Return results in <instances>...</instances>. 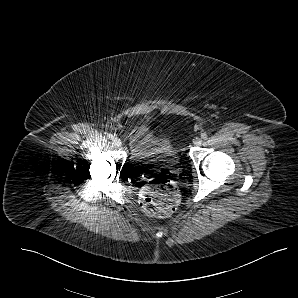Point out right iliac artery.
<instances>
[{
    "instance_id": "right-iliac-artery-1",
    "label": "right iliac artery",
    "mask_w": 298,
    "mask_h": 298,
    "mask_svg": "<svg viewBox=\"0 0 298 298\" xmlns=\"http://www.w3.org/2000/svg\"><path fill=\"white\" fill-rule=\"evenodd\" d=\"M108 138L112 140V139H114V136L112 134H109Z\"/></svg>"
}]
</instances>
